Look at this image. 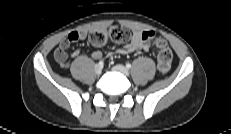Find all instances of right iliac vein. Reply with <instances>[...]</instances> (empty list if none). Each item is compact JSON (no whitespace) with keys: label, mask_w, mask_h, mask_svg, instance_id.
<instances>
[{"label":"right iliac vein","mask_w":231,"mask_h":134,"mask_svg":"<svg viewBox=\"0 0 231 134\" xmlns=\"http://www.w3.org/2000/svg\"><path fill=\"white\" fill-rule=\"evenodd\" d=\"M94 71L97 75H100L102 72V67L100 65L96 64L94 67Z\"/></svg>","instance_id":"obj_1"}]
</instances>
